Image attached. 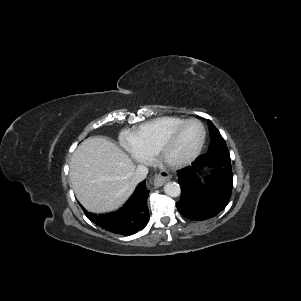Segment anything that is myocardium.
Masks as SVG:
<instances>
[{"label": "myocardium", "instance_id": "myocardium-1", "mask_svg": "<svg viewBox=\"0 0 301 301\" xmlns=\"http://www.w3.org/2000/svg\"><path fill=\"white\" fill-rule=\"evenodd\" d=\"M191 122L198 123L202 129V136H201V139H200L196 149L189 156H187L183 159H180V160L171 159L168 155L171 144L173 143V141L175 140V138L177 137V135L181 131V129L185 125H187L188 123H191ZM205 140H206V128H205L203 122L196 118H189V119H186L183 122H181L179 125H177L175 128H173L171 131H169L167 134H165L163 136V138L161 139V141L158 145L156 155L158 157V160L166 167H169V168L184 167V166L190 164L192 161H194L198 157V155L200 154V152L204 146Z\"/></svg>", "mask_w": 301, "mask_h": 301}]
</instances>
